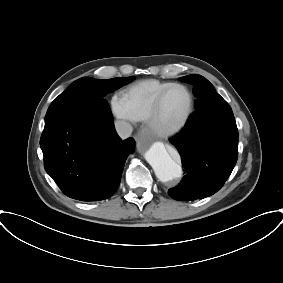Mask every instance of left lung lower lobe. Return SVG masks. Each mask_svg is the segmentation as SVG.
<instances>
[{
  "label": "left lung lower lobe",
  "instance_id": "0a47b994",
  "mask_svg": "<svg viewBox=\"0 0 283 283\" xmlns=\"http://www.w3.org/2000/svg\"><path fill=\"white\" fill-rule=\"evenodd\" d=\"M232 109L220 96L210 104L196 106L181 133L170 139L184 165L183 183L169 189L175 200L189 201L208 197L224 185L238 157V139L217 136L231 121Z\"/></svg>",
  "mask_w": 283,
  "mask_h": 283
}]
</instances>
